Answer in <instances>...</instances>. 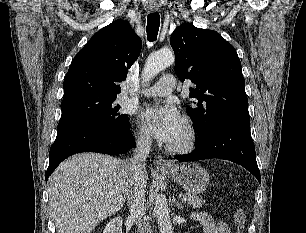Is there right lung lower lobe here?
Instances as JSON below:
<instances>
[{"instance_id":"right-lung-lower-lobe-1","label":"right lung lower lobe","mask_w":306,"mask_h":233,"mask_svg":"<svg viewBox=\"0 0 306 233\" xmlns=\"http://www.w3.org/2000/svg\"><path fill=\"white\" fill-rule=\"evenodd\" d=\"M129 128L116 131L108 128L93 127L57 138L49 152L46 181L56 167L70 155L89 151L119 154L131 149L135 145V140Z\"/></svg>"}]
</instances>
